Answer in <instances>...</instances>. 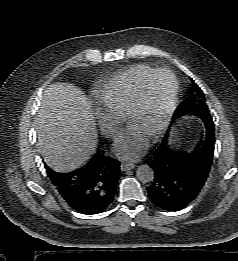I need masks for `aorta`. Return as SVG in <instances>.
Returning a JSON list of instances; mask_svg holds the SVG:
<instances>
[{
	"mask_svg": "<svg viewBox=\"0 0 238 261\" xmlns=\"http://www.w3.org/2000/svg\"><path fill=\"white\" fill-rule=\"evenodd\" d=\"M136 177L138 178V180L142 183H148L153 181L154 179V171L153 169L147 165H140L138 166L137 170H136Z\"/></svg>",
	"mask_w": 238,
	"mask_h": 261,
	"instance_id": "1",
	"label": "aorta"
}]
</instances>
